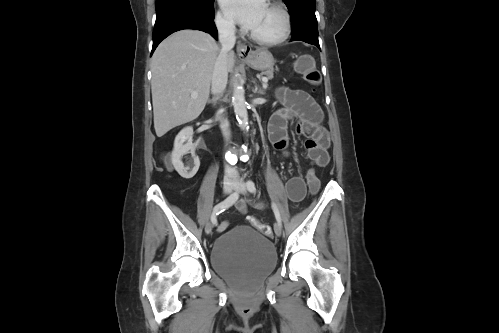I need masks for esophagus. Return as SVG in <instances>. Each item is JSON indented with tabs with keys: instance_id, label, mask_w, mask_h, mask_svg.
Returning <instances> with one entry per match:
<instances>
[{
	"instance_id": "34e87169",
	"label": "esophagus",
	"mask_w": 499,
	"mask_h": 333,
	"mask_svg": "<svg viewBox=\"0 0 499 333\" xmlns=\"http://www.w3.org/2000/svg\"><path fill=\"white\" fill-rule=\"evenodd\" d=\"M237 53L239 57H249L251 54V48L243 43H238Z\"/></svg>"
}]
</instances>
